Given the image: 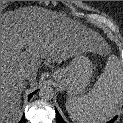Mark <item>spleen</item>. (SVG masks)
<instances>
[{
  "label": "spleen",
  "instance_id": "obj_1",
  "mask_svg": "<svg viewBox=\"0 0 123 123\" xmlns=\"http://www.w3.org/2000/svg\"><path fill=\"white\" fill-rule=\"evenodd\" d=\"M122 100L123 69L118 58L112 55L91 91L68 98L65 105L74 123H104L113 117Z\"/></svg>",
  "mask_w": 123,
  "mask_h": 123
}]
</instances>
